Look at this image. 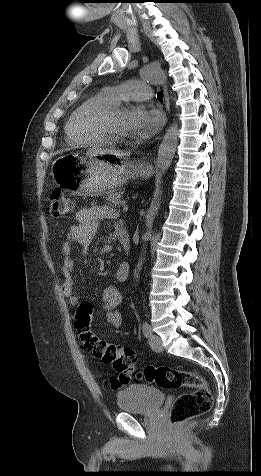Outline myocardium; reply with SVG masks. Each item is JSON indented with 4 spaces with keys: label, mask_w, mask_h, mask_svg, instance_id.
<instances>
[{
    "label": "myocardium",
    "mask_w": 261,
    "mask_h": 476,
    "mask_svg": "<svg viewBox=\"0 0 261 476\" xmlns=\"http://www.w3.org/2000/svg\"><path fill=\"white\" fill-rule=\"evenodd\" d=\"M127 107L123 103H112L93 110L87 117L89 128L96 134L104 137L107 141H124L126 135H122L115 131L111 126L112 117Z\"/></svg>",
    "instance_id": "obj_1"
}]
</instances>
